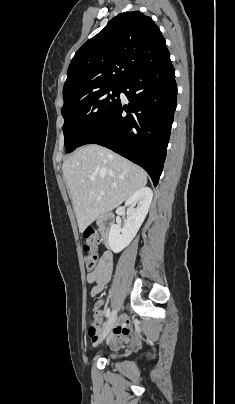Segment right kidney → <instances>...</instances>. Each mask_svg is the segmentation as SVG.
<instances>
[{"instance_id":"right-kidney-1","label":"right kidney","mask_w":235,"mask_h":404,"mask_svg":"<svg viewBox=\"0 0 235 404\" xmlns=\"http://www.w3.org/2000/svg\"><path fill=\"white\" fill-rule=\"evenodd\" d=\"M153 192L148 187L135 191L125 202L127 220L122 229L119 225H112L109 232V246L114 253L126 248L136 236L152 202ZM137 204V208L134 206Z\"/></svg>"}]
</instances>
